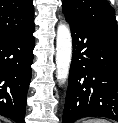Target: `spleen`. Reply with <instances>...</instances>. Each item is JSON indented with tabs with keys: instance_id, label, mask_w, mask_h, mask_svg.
<instances>
[{
	"instance_id": "spleen-1",
	"label": "spleen",
	"mask_w": 118,
	"mask_h": 123,
	"mask_svg": "<svg viewBox=\"0 0 118 123\" xmlns=\"http://www.w3.org/2000/svg\"><path fill=\"white\" fill-rule=\"evenodd\" d=\"M83 123H110V122L104 119L95 118V119H88L86 121H83Z\"/></svg>"
}]
</instances>
